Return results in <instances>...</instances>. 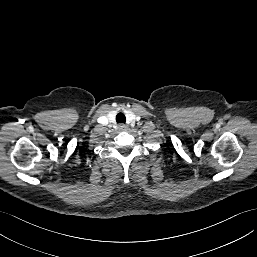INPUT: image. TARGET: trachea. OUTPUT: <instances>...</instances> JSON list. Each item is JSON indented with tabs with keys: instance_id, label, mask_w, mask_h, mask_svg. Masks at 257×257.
<instances>
[{
	"instance_id": "3493384b",
	"label": "trachea",
	"mask_w": 257,
	"mask_h": 257,
	"mask_svg": "<svg viewBox=\"0 0 257 257\" xmlns=\"http://www.w3.org/2000/svg\"><path fill=\"white\" fill-rule=\"evenodd\" d=\"M116 121H117V123H125L126 122L125 115L122 112L118 113L116 115Z\"/></svg>"
}]
</instances>
